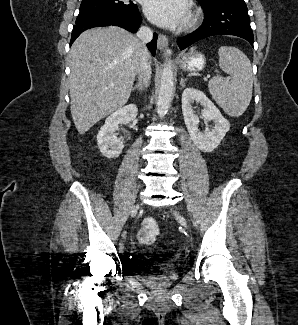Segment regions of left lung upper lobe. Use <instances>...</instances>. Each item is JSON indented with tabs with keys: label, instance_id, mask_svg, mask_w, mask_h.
<instances>
[{
	"label": "left lung upper lobe",
	"instance_id": "1",
	"mask_svg": "<svg viewBox=\"0 0 298 325\" xmlns=\"http://www.w3.org/2000/svg\"><path fill=\"white\" fill-rule=\"evenodd\" d=\"M198 1L203 5V7H208L212 4L220 2L221 0H198Z\"/></svg>",
	"mask_w": 298,
	"mask_h": 325
}]
</instances>
